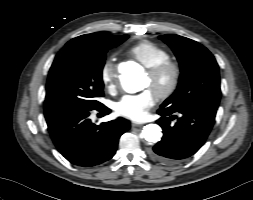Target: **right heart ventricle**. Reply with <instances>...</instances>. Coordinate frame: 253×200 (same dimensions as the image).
Listing matches in <instances>:
<instances>
[{"instance_id": "1", "label": "right heart ventricle", "mask_w": 253, "mask_h": 200, "mask_svg": "<svg viewBox=\"0 0 253 200\" xmlns=\"http://www.w3.org/2000/svg\"><path fill=\"white\" fill-rule=\"evenodd\" d=\"M127 54L146 68L170 59L167 49L146 40L131 46L127 50Z\"/></svg>"}]
</instances>
